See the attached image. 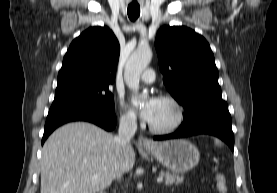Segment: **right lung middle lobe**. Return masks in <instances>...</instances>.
I'll use <instances>...</instances> for the list:
<instances>
[{"mask_svg": "<svg viewBox=\"0 0 277 193\" xmlns=\"http://www.w3.org/2000/svg\"><path fill=\"white\" fill-rule=\"evenodd\" d=\"M54 101H72L114 112V98L109 85L81 87L55 93Z\"/></svg>", "mask_w": 277, "mask_h": 193, "instance_id": "dd1d6c3e", "label": "right lung middle lobe"}]
</instances>
